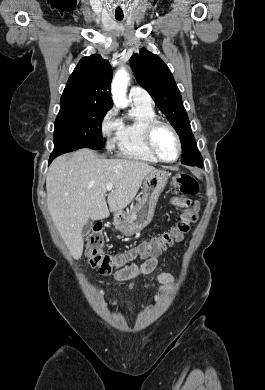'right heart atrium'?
<instances>
[{
  "label": "right heart atrium",
  "mask_w": 265,
  "mask_h": 390,
  "mask_svg": "<svg viewBox=\"0 0 265 390\" xmlns=\"http://www.w3.org/2000/svg\"><path fill=\"white\" fill-rule=\"evenodd\" d=\"M121 119L117 117V109L111 107L102 117L100 122V131L107 140V145H113L115 136L119 130Z\"/></svg>",
  "instance_id": "1"
}]
</instances>
